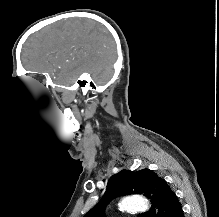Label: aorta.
<instances>
[{
    "label": "aorta",
    "instance_id": "762f6f07",
    "mask_svg": "<svg viewBox=\"0 0 219 217\" xmlns=\"http://www.w3.org/2000/svg\"><path fill=\"white\" fill-rule=\"evenodd\" d=\"M148 207L147 199L136 195L124 197L119 203V208L127 212L145 211Z\"/></svg>",
    "mask_w": 219,
    "mask_h": 217
}]
</instances>
